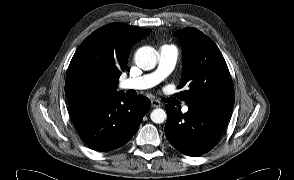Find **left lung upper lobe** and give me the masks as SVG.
Here are the masks:
<instances>
[{
    "mask_svg": "<svg viewBox=\"0 0 294 180\" xmlns=\"http://www.w3.org/2000/svg\"><path fill=\"white\" fill-rule=\"evenodd\" d=\"M175 35L183 49V75L178 88L188 86L183 93L186 102L232 106V79L216 44L195 28H184Z\"/></svg>",
    "mask_w": 294,
    "mask_h": 180,
    "instance_id": "1",
    "label": "left lung upper lobe"
}]
</instances>
